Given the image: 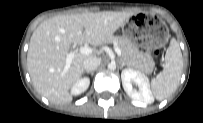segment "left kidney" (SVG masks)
Listing matches in <instances>:
<instances>
[{
	"label": "left kidney",
	"instance_id": "1",
	"mask_svg": "<svg viewBox=\"0 0 203 123\" xmlns=\"http://www.w3.org/2000/svg\"><path fill=\"white\" fill-rule=\"evenodd\" d=\"M121 79L124 91L130 98L146 104L154 102L149 79L146 75L131 68H126L121 72ZM132 83L138 86V90L133 88Z\"/></svg>",
	"mask_w": 203,
	"mask_h": 123
}]
</instances>
